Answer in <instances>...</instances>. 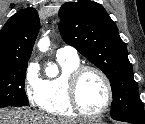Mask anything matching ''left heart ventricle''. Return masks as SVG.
Listing matches in <instances>:
<instances>
[{"instance_id":"left-heart-ventricle-1","label":"left heart ventricle","mask_w":145,"mask_h":124,"mask_svg":"<svg viewBox=\"0 0 145 124\" xmlns=\"http://www.w3.org/2000/svg\"><path fill=\"white\" fill-rule=\"evenodd\" d=\"M79 98L83 109L88 113L100 111L107 101L104 82L94 72H87L79 85Z\"/></svg>"}]
</instances>
